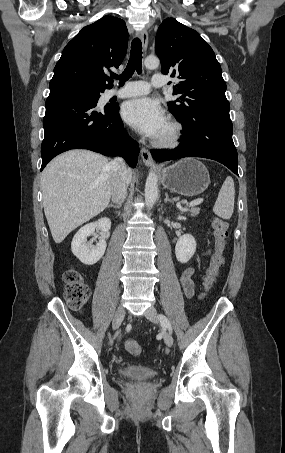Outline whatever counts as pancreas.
Masks as SVG:
<instances>
[{
  "instance_id": "1",
  "label": "pancreas",
  "mask_w": 285,
  "mask_h": 453,
  "mask_svg": "<svg viewBox=\"0 0 285 453\" xmlns=\"http://www.w3.org/2000/svg\"><path fill=\"white\" fill-rule=\"evenodd\" d=\"M188 211L191 213V216L195 217V216H197L199 214L200 209L192 207Z\"/></svg>"
}]
</instances>
